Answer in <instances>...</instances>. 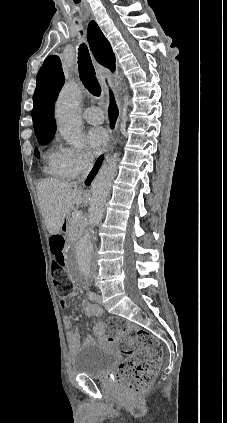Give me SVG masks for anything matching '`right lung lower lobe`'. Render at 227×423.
<instances>
[{
	"label": "right lung lower lobe",
	"mask_w": 227,
	"mask_h": 423,
	"mask_svg": "<svg viewBox=\"0 0 227 423\" xmlns=\"http://www.w3.org/2000/svg\"><path fill=\"white\" fill-rule=\"evenodd\" d=\"M103 160V156H100L94 166V168L92 169V171L90 172V174L88 175L87 180L85 181L86 185H90V181L94 178V176L96 175V173L98 172L100 165L102 163Z\"/></svg>",
	"instance_id": "right-lung-lower-lobe-1"
}]
</instances>
